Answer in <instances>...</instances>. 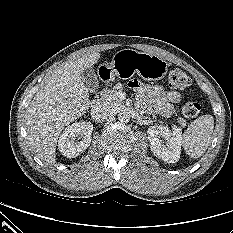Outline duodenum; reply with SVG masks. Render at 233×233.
<instances>
[{"mask_svg":"<svg viewBox=\"0 0 233 233\" xmlns=\"http://www.w3.org/2000/svg\"><path fill=\"white\" fill-rule=\"evenodd\" d=\"M102 98H103V93L102 92L97 94L95 96V98L93 99V101H92V105L97 106L101 102Z\"/></svg>","mask_w":233,"mask_h":233,"instance_id":"obj_1","label":"duodenum"}]
</instances>
